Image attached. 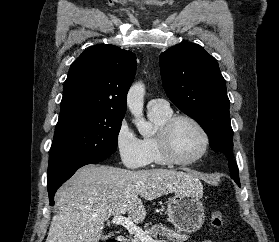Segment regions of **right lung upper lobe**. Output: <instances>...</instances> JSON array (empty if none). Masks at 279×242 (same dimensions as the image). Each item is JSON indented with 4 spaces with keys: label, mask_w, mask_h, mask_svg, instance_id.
I'll use <instances>...</instances> for the list:
<instances>
[{
    "label": "right lung upper lobe",
    "mask_w": 279,
    "mask_h": 242,
    "mask_svg": "<svg viewBox=\"0 0 279 242\" xmlns=\"http://www.w3.org/2000/svg\"><path fill=\"white\" fill-rule=\"evenodd\" d=\"M136 56L114 45H94L72 64L64 82L60 114L82 110L124 117L126 95L136 72Z\"/></svg>",
    "instance_id": "right-lung-upper-lobe-1"
}]
</instances>
